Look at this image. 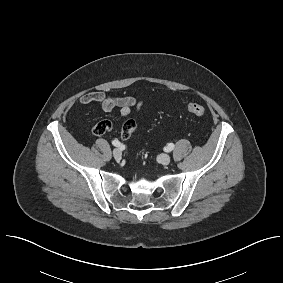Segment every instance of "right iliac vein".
Instances as JSON below:
<instances>
[{
	"label": "right iliac vein",
	"mask_w": 283,
	"mask_h": 283,
	"mask_svg": "<svg viewBox=\"0 0 283 283\" xmlns=\"http://www.w3.org/2000/svg\"><path fill=\"white\" fill-rule=\"evenodd\" d=\"M113 156L116 160H120L122 158V152L120 149L116 148L113 150Z\"/></svg>",
	"instance_id": "obj_1"
}]
</instances>
